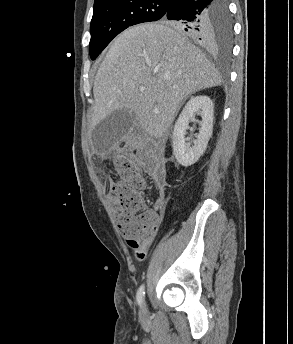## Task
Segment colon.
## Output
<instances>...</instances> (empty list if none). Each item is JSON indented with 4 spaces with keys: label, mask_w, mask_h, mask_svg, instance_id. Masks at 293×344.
I'll return each mask as SVG.
<instances>
[{
    "label": "colon",
    "mask_w": 293,
    "mask_h": 344,
    "mask_svg": "<svg viewBox=\"0 0 293 344\" xmlns=\"http://www.w3.org/2000/svg\"><path fill=\"white\" fill-rule=\"evenodd\" d=\"M121 181L112 187L111 204L121 233L130 238L155 236L159 211L149 208L143 199L145 179L128 154L115 152L108 157Z\"/></svg>",
    "instance_id": "5ec220e1"
}]
</instances>
